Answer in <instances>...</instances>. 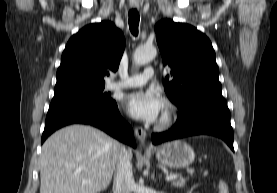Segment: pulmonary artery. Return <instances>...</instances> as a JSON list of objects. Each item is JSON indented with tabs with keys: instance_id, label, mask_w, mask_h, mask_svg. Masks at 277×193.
I'll return each mask as SVG.
<instances>
[{
	"instance_id": "1",
	"label": "pulmonary artery",
	"mask_w": 277,
	"mask_h": 193,
	"mask_svg": "<svg viewBox=\"0 0 277 193\" xmlns=\"http://www.w3.org/2000/svg\"><path fill=\"white\" fill-rule=\"evenodd\" d=\"M154 75V69L152 67H147L143 73L132 75L125 79L124 81L112 83L110 88H127V87H137L145 84Z\"/></svg>"
}]
</instances>
